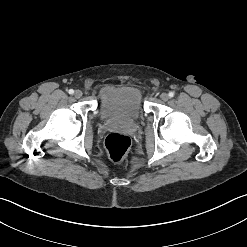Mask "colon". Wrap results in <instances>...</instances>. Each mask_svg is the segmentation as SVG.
Returning <instances> with one entry per match:
<instances>
[{"label": "colon", "mask_w": 247, "mask_h": 247, "mask_svg": "<svg viewBox=\"0 0 247 247\" xmlns=\"http://www.w3.org/2000/svg\"><path fill=\"white\" fill-rule=\"evenodd\" d=\"M130 147L131 139L122 133H111L105 139L108 156L116 163H122L127 159Z\"/></svg>", "instance_id": "colon-1"}]
</instances>
